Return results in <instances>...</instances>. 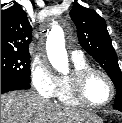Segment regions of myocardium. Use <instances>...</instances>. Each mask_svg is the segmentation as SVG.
I'll list each match as a JSON object with an SVG mask.
<instances>
[{"label": "myocardium", "mask_w": 122, "mask_h": 123, "mask_svg": "<svg viewBox=\"0 0 122 123\" xmlns=\"http://www.w3.org/2000/svg\"><path fill=\"white\" fill-rule=\"evenodd\" d=\"M95 74H98L105 78L111 89V95L109 99L103 103H95L90 101L85 93V88L88 80L91 78V76ZM69 87L70 94L75 101H77L81 105L92 108H101L107 106L114 99L116 92L115 85L111 77L106 72L91 66L72 73L69 79Z\"/></svg>", "instance_id": "1"}]
</instances>
